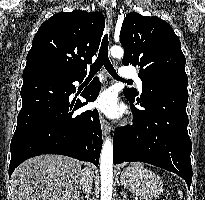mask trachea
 Listing matches in <instances>:
<instances>
[{"instance_id":"3493384b","label":"trachea","mask_w":205,"mask_h":200,"mask_svg":"<svg viewBox=\"0 0 205 200\" xmlns=\"http://www.w3.org/2000/svg\"><path fill=\"white\" fill-rule=\"evenodd\" d=\"M104 66L106 68V70L108 71V73L116 80L119 81H123V82H127V83H132L131 80H124L122 78H120L113 65L111 64L109 58H108V35L105 34L101 43V47L99 50V54L98 57L96 59V61L94 62V64H92L90 66V71H89V75L90 76H94L99 70L100 68Z\"/></svg>"}]
</instances>
